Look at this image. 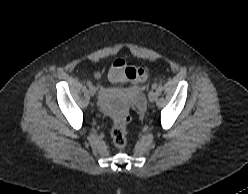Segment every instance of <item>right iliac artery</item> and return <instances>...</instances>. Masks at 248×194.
Segmentation results:
<instances>
[{"instance_id":"obj_1","label":"right iliac artery","mask_w":248,"mask_h":194,"mask_svg":"<svg viewBox=\"0 0 248 194\" xmlns=\"http://www.w3.org/2000/svg\"><path fill=\"white\" fill-rule=\"evenodd\" d=\"M87 86H92V82L91 81H87Z\"/></svg>"}]
</instances>
